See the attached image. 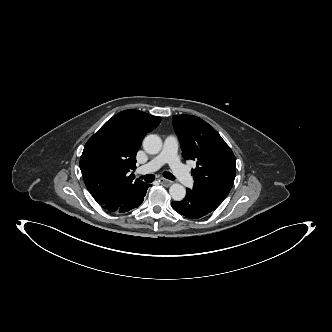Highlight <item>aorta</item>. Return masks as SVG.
<instances>
[{"label": "aorta", "instance_id": "obj_1", "mask_svg": "<svg viewBox=\"0 0 332 332\" xmlns=\"http://www.w3.org/2000/svg\"><path fill=\"white\" fill-rule=\"evenodd\" d=\"M143 148L148 154H157L162 148V140L158 135H147L143 140ZM169 193L173 200L181 201L186 195V189L181 184L174 183L170 186Z\"/></svg>", "mask_w": 332, "mask_h": 332}]
</instances>
